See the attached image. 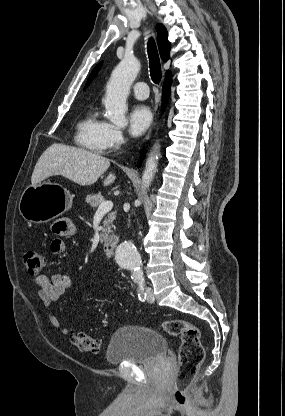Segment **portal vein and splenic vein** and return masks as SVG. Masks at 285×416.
Segmentation results:
<instances>
[{
    "label": "portal vein and splenic vein",
    "mask_w": 285,
    "mask_h": 416,
    "mask_svg": "<svg viewBox=\"0 0 285 416\" xmlns=\"http://www.w3.org/2000/svg\"><path fill=\"white\" fill-rule=\"evenodd\" d=\"M113 208V202H102L100 204L95 216H102V214H107Z\"/></svg>",
    "instance_id": "18ae733b"
}]
</instances>
